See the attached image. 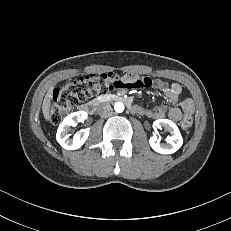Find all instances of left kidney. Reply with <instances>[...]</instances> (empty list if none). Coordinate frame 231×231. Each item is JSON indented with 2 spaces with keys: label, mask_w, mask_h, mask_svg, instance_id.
<instances>
[{
  "label": "left kidney",
  "mask_w": 231,
  "mask_h": 231,
  "mask_svg": "<svg viewBox=\"0 0 231 231\" xmlns=\"http://www.w3.org/2000/svg\"><path fill=\"white\" fill-rule=\"evenodd\" d=\"M153 128H164L170 132L165 143H160L155 135L150 137L149 143L152 149L160 154H172L176 152L183 144V138L177 125L168 119H158L153 123Z\"/></svg>",
  "instance_id": "5707ae66"
}]
</instances>
